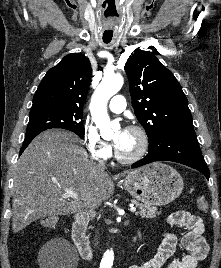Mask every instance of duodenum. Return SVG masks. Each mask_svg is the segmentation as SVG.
<instances>
[{
  "label": "duodenum",
  "instance_id": "410a0bca",
  "mask_svg": "<svg viewBox=\"0 0 221 268\" xmlns=\"http://www.w3.org/2000/svg\"><path fill=\"white\" fill-rule=\"evenodd\" d=\"M89 221V217L86 213H78L73 222L72 226V239L77 249L79 250L81 256L84 259H92L93 249L90 242L86 236V228ZM135 239H132L129 247L132 246Z\"/></svg>",
  "mask_w": 221,
  "mask_h": 268
}]
</instances>
